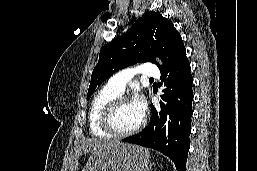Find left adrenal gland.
Here are the masks:
<instances>
[{
  "instance_id": "a2214340",
  "label": "left adrenal gland",
  "mask_w": 257,
  "mask_h": 171,
  "mask_svg": "<svg viewBox=\"0 0 257 171\" xmlns=\"http://www.w3.org/2000/svg\"><path fill=\"white\" fill-rule=\"evenodd\" d=\"M154 163L150 164L149 168L146 169V171H150Z\"/></svg>"
}]
</instances>
